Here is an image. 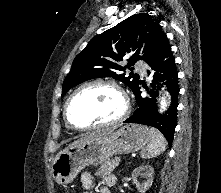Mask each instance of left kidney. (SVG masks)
<instances>
[{
  "mask_svg": "<svg viewBox=\"0 0 221 193\" xmlns=\"http://www.w3.org/2000/svg\"><path fill=\"white\" fill-rule=\"evenodd\" d=\"M154 170L150 165H141L132 172L133 183L140 193H145L153 183ZM144 178V182L138 181V177Z\"/></svg>",
  "mask_w": 221,
  "mask_h": 193,
  "instance_id": "1",
  "label": "left kidney"
}]
</instances>
